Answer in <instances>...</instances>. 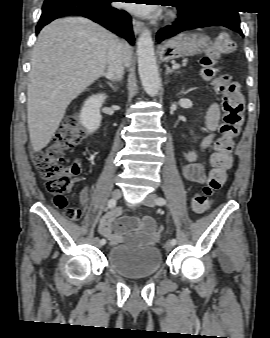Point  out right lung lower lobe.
<instances>
[{"label":"right lung lower lobe","mask_w":270,"mask_h":338,"mask_svg":"<svg viewBox=\"0 0 270 338\" xmlns=\"http://www.w3.org/2000/svg\"><path fill=\"white\" fill-rule=\"evenodd\" d=\"M116 0H45L36 34L51 21L69 15H79L93 20L114 33L134 43L131 17L124 11L111 7Z\"/></svg>","instance_id":"1"}]
</instances>
